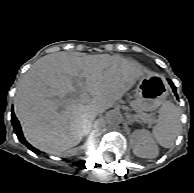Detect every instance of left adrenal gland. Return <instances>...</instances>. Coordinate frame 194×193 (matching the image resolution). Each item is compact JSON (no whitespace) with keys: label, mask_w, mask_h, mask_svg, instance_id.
<instances>
[{"label":"left adrenal gland","mask_w":194,"mask_h":193,"mask_svg":"<svg viewBox=\"0 0 194 193\" xmlns=\"http://www.w3.org/2000/svg\"><path fill=\"white\" fill-rule=\"evenodd\" d=\"M136 120H134L133 118L130 117V120H129V123H133L135 122ZM137 122V121H136Z\"/></svg>","instance_id":"left-adrenal-gland-1"}]
</instances>
